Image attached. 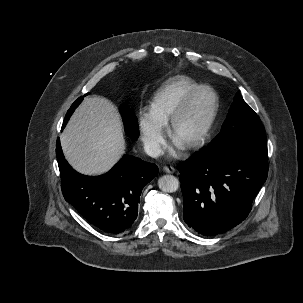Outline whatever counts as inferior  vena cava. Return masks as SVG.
Here are the masks:
<instances>
[{
	"mask_svg": "<svg viewBox=\"0 0 303 303\" xmlns=\"http://www.w3.org/2000/svg\"><path fill=\"white\" fill-rule=\"evenodd\" d=\"M144 151L150 157H158L163 154V151L160 148V145L155 141H147L144 144Z\"/></svg>",
	"mask_w": 303,
	"mask_h": 303,
	"instance_id": "obj_1",
	"label": "inferior vena cava"
}]
</instances>
